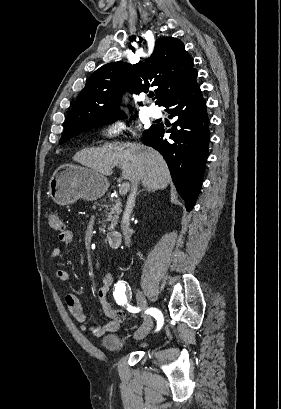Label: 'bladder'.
I'll return each instance as SVG.
<instances>
[{"label":"bladder","instance_id":"1","mask_svg":"<svg viewBox=\"0 0 281 409\" xmlns=\"http://www.w3.org/2000/svg\"><path fill=\"white\" fill-rule=\"evenodd\" d=\"M99 346L108 354H120L132 347V341L122 332L103 335Z\"/></svg>","mask_w":281,"mask_h":409}]
</instances>
